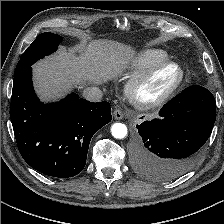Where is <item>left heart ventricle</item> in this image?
I'll return each mask as SVG.
<instances>
[{"mask_svg":"<svg viewBox=\"0 0 224 224\" xmlns=\"http://www.w3.org/2000/svg\"><path fill=\"white\" fill-rule=\"evenodd\" d=\"M177 76L174 69L168 68L155 75L143 88L142 97L152 99L160 95Z\"/></svg>","mask_w":224,"mask_h":224,"instance_id":"1","label":"left heart ventricle"}]
</instances>
